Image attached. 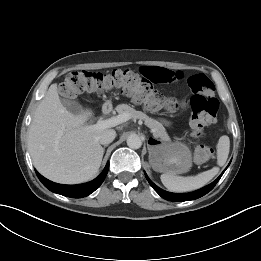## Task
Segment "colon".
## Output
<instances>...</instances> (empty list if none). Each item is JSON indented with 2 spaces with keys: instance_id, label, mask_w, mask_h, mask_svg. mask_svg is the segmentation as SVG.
Wrapping results in <instances>:
<instances>
[{
  "instance_id": "5ec220e1",
  "label": "colon",
  "mask_w": 261,
  "mask_h": 261,
  "mask_svg": "<svg viewBox=\"0 0 261 261\" xmlns=\"http://www.w3.org/2000/svg\"><path fill=\"white\" fill-rule=\"evenodd\" d=\"M188 86L192 93L189 100L192 110L190 126L193 135L199 138L203 135L205 127L215 123L219 104L215 97L214 84L205 74L190 76ZM114 88L153 111L160 109L175 111L184 105L182 100L165 97L153 89L149 79L132 70L115 69L108 73L73 71L66 75L59 91L63 98L73 100L81 94ZM213 153L211 147L199 144L195 148V159L199 163H205L213 157Z\"/></svg>"
}]
</instances>
